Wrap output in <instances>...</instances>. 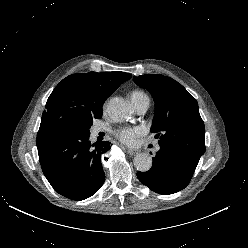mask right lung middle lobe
Returning <instances> with one entry per match:
<instances>
[{
    "label": "right lung middle lobe",
    "instance_id": "1",
    "mask_svg": "<svg viewBox=\"0 0 248 248\" xmlns=\"http://www.w3.org/2000/svg\"><path fill=\"white\" fill-rule=\"evenodd\" d=\"M99 118H101V116L96 117V119H99ZM92 123H93V120H89L86 123H84V124H82L80 126H77L75 128H77L78 130L83 131V132H89V129H90Z\"/></svg>",
    "mask_w": 248,
    "mask_h": 248
}]
</instances>
